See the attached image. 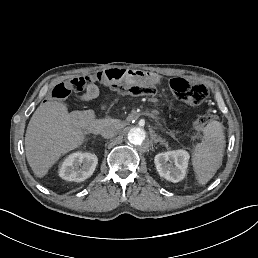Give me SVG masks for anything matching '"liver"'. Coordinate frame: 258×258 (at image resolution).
Returning a JSON list of instances; mask_svg holds the SVG:
<instances>
[{
	"mask_svg": "<svg viewBox=\"0 0 258 258\" xmlns=\"http://www.w3.org/2000/svg\"><path fill=\"white\" fill-rule=\"evenodd\" d=\"M82 112H67L60 101L41 103L26 131V158L34 173L41 177L59 158L76 148L83 139L79 131Z\"/></svg>",
	"mask_w": 258,
	"mask_h": 258,
	"instance_id": "6515ba94",
	"label": "liver"
}]
</instances>
